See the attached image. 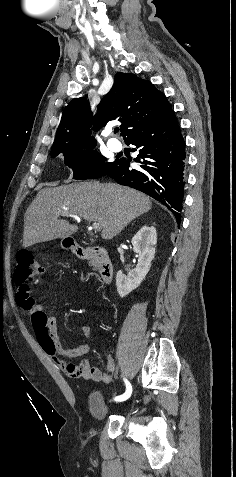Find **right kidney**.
Returning a JSON list of instances; mask_svg holds the SVG:
<instances>
[{"mask_svg": "<svg viewBox=\"0 0 236 477\" xmlns=\"http://www.w3.org/2000/svg\"><path fill=\"white\" fill-rule=\"evenodd\" d=\"M133 250L138 254V264L135 269L124 276L122 271L116 275V287L120 297H125L136 289L150 270L155 256L157 233L153 226H143L132 238Z\"/></svg>", "mask_w": 236, "mask_h": 477, "instance_id": "obj_1", "label": "right kidney"}]
</instances>
